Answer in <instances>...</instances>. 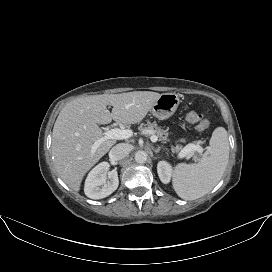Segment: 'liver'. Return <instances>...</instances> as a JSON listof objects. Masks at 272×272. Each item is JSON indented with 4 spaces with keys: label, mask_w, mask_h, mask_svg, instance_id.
I'll return each mask as SVG.
<instances>
[{
    "label": "liver",
    "mask_w": 272,
    "mask_h": 272,
    "mask_svg": "<svg viewBox=\"0 0 272 272\" xmlns=\"http://www.w3.org/2000/svg\"><path fill=\"white\" fill-rule=\"evenodd\" d=\"M161 95L151 91L93 95L74 99L60 111L53 127L52 156L61 179L80 190L84 175L116 143L103 141L94 153L93 144L104 137L98 124L112 120L123 124L141 122ZM107 105L113 106L112 112Z\"/></svg>",
    "instance_id": "obj_1"
}]
</instances>
